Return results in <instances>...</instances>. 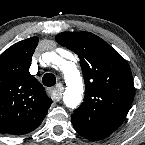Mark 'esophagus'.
I'll list each match as a JSON object with an SVG mask.
<instances>
[{"label": "esophagus", "mask_w": 145, "mask_h": 145, "mask_svg": "<svg viewBox=\"0 0 145 145\" xmlns=\"http://www.w3.org/2000/svg\"><path fill=\"white\" fill-rule=\"evenodd\" d=\"M48 91H49L51 98L54 101L58 102L61 100L62 93H63V87L60 84L57 85L55 88H49Z\"/></svg>", "instance_id": "obj_1"}]
</instances>
